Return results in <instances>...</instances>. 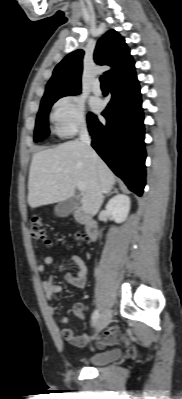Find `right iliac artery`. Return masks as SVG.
<instances>
[{
	"mask_svg": "<svg viewBox=\"0 0 182 399\" xmlns=\"http://www.w3.org/2000/svg\"><path fill=\"white\" fill-rule=\"evenodd\" d=\"M99 318V310H95L92 314V323L95 324Z\"/></svg>",
	"mask_w": 182,
	"mask_h": 399,
	"instance_id": "82829eb1",
	"label": "right iliac artery"
}]
</instances>
